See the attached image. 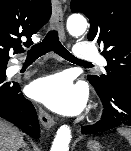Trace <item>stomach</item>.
Here are the masks:
<instances>
[{
	"label": "stomach",
	"instance_id": "stomach-1",
	"mask_svg": "<svg viewBox=\"0 0 131 151\" xmlns=\"http://www.w3.org/2000/svg\"><path fill=\"white\" fill-rule=\"evenodd\" d=\"M87 147L89 151H101V145L97 141H89Z\"/></svg>",
	"mask_w": 131,
	"mask_h": 151
}]
</instances>
